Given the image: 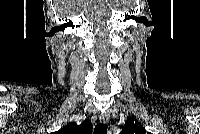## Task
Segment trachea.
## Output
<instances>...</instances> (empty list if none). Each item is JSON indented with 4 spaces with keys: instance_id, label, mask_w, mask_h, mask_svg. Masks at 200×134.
Segmentation results:
<instances>
[{
    "instance_id": "trachea-1",
    "label": "trachea",
    "mask_w": 200,
    "mask_h": 134,
    "mask_svg": "<svg viewBox=\"0 0 200 134\" xmlns=\"http://www.w3.org/2000/svg\"><path fill=\"white\" fill-rule=\"evenodd\" d=\"M107 133V124L97 123L94 129V134H106Z\"/></svg>"
}]
</instances>
